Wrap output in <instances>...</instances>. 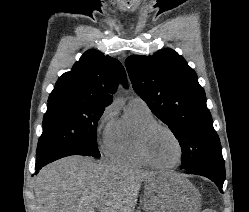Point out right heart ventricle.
<instances>
[{
    "mask_svg": "<svg viewBox=\"0 0 249 212\" xmlns=\"http://www.w3.org/2000/svg\"><path fill=\"white\" fill-rule=\"evenodd\" d=\"M153 122L156 118L146 104L130 101L124 114L110 125L106 156L120 164L149 167L140 153L138 139L143 127Z\"/></svg>",
    "mask_w": 249,
    "mask_h": 212,
    "instance_id": "obj_1",
    "label": "right heart ventricle"
}]
</instances>
